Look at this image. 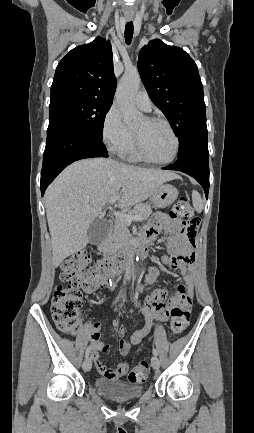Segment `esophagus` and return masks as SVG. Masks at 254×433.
Returning a JSON list of instances; mask_svg holds the SVG:
<instances>
[{"label": "esophagus", "mask_w": 254, "mask_h": 433, "mask_svg": "<svg viewBox=\"0 0 254 433\" xmlns=\"http://www.w3.org/2000/svg\"><path fill=\"white\" fill-rule=\"evenodd\" d=\"M131 20V18H127V21H130Z\"/></svg>", "instance_id": "34e87169"}]
</instances>
